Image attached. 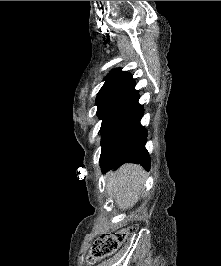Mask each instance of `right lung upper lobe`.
<instances>
[{"instance_id":"1","label":"right lung upper lobe","mask_w":221,"mask_h":266,"mask_svg":"<svg viewBox=\"0 0 221 266\" xmlns=\"http://www.w3.org/2000/svg\"><path fill=\"white\" fill-rule=\"evenodd\" d=\"M104 80L105 83L101 90L118 87H135V82L132 75L127 71H121V69H114L110 71Z\"/></svg>"}]
</instances>
